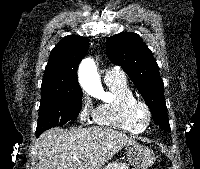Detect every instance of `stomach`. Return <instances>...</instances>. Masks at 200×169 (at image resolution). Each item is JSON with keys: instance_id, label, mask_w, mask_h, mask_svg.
Wrapping results in <instances>:
<instances>
[{"instance_id": "1", "label": "stomach", "mask_w": 200, "mask_h": 169, "mask_svg": "<svg viewBox=\"0 0 200 169\" xmlns=\"http://www.w3.org/2000/svg\"><path fill=\"white\" fill-rule=\"evenodd\" d=\"M127 161L134 169H148L155 161V154L150 148L136 144L128 147Z\"/></svg>"}]
</instances>
